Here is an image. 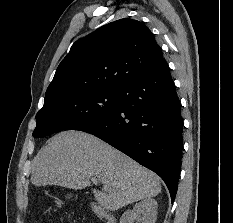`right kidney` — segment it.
I'll return each instance as SVG.
<instances>
[{
	"instance_id": "1",
	"label": "right kidney",
	"mask_w": 233,
	"mask_h": 223,
	"mask_svg": "<svg viewBox=\"0 0 233 223\" xmlns=\"http://www.w3.org/2000/svg\"><path fill=\"white\" fill-rule=\"evenodd\" d=\"M157 201L154 197H146L134 205V209H127L120 217V223H132L140 217L143 223H155L157 217ZM143 215V217H141Z\"/></svg>"
}]
</instances>
